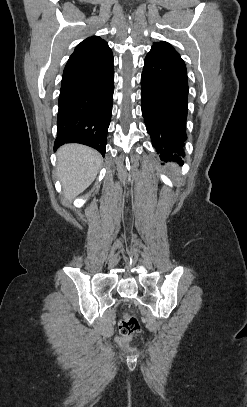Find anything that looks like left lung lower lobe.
I'll return each mask as SVG.
<instances>
[{
    "mask_svg": "<svg viewBox=\"0 0 247 407\" xmlns=\"http://www.w3.org/2000/svg\"><path fill=\"white\" fill-rule=\"evenodd\" d=\"M142 115L164 160L183 162L188 104L186 66L179 56L152 50L141 76Z\"/></svg>",
    "mask_w": 247,
    "mask_h": 407,
    "instance_id": "obj_1",
    "label": "left lung lower lobe"
}]
</instances>
